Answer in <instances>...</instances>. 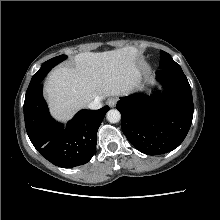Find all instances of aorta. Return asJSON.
Instances as JSON below:
<instances>
[{"mask_svg": "<svg viewBox=\"0 0 220 220\" xmlns=\"http://www.w3.org/2000/svg\"><path fill=\"white\" fill-rule=\"evenodd\" d=\"M106 118L110 123H117L121 119V114L116 109H111L107 112Z\"/></svg>", "mask_w": 220, "mask_h": 220, "instance_id": "762f6f07", "label": "aorta"}]
</instances>
